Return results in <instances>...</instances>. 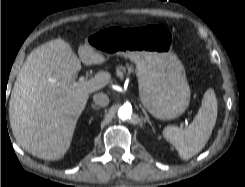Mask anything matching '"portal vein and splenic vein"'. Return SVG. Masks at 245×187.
<instances>
[{"mask_svg": "<svg viewBox=\"0 0 245 187\" xmlns=\"http://www.w3.org/2000/svg\"><path fill=\"white\" fill-rule=\"evenodd\" d=\"M80 81H84V77H81V78H80Z\"/></svg>", "mask_w": 245, "mask_h": 187, "instance_id": "1", "label": "portal vein and splenic vein"}]
</instances>
